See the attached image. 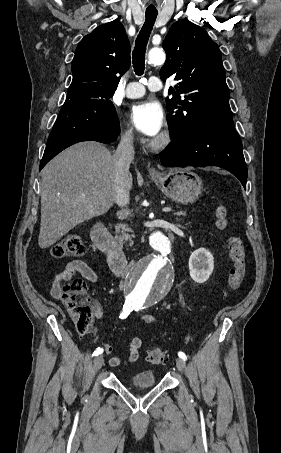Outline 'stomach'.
Masks as SVG:
<instances>
[{"mask_svg":"<svg viewBox=\"0 0 281 453\" xmlns=\"http://www.w3.org/2000/svg\"><path fill=\"white\" fill-rule=\"evenodd\" d=\"M162 192L175 202H195L202 194L203 182L192 168H169L153 176Z\"/></svg>","mask_w":281,"mask_h":453,"instance_id":"0dacf381","label":"stomach"}]
</instances>
